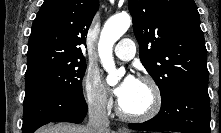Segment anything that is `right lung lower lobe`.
Segmentation results:
<instances>
[{
    "mask_svg": "<svg viewBox=\"0 0 221 133\" xmlns=\"http://www.w3.org/2000/svg\"><path fill=\"white\" fill-rule=\"evenodd\" d=\"M25 89L23 133H33L50 122L81 123L87 114L83 96H71L35 82L26 83Z\"/></svg>",
    "mask_w": 221,
    "mask_h": 133,
    "instance_id": "right-lung-lower-lobe-1",
    "label": "right lung lower lobe"
}]
</instances>
